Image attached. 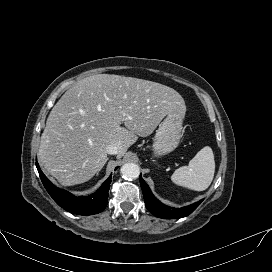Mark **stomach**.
<instances>
[{"label": "stomach", "instance_id": "stomach-1", "mask_svg": "<svg viewBox=\"0 0 272 272\" xmlns=\"http://www.w3.org/2000/svg\"><path fill=\"white\" fill-rule=\"evenodd\" d=\"M183 118L178 112H170L159 124L153 143L156 156L168 154L178 146L182 136Z\"/></svg>", "mask_w": 272, "mask_h": 272}]
</instances>
